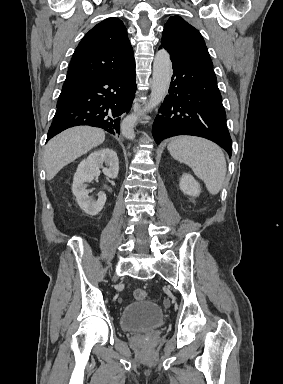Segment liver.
<instances>
[{
	"mask_svg": "<svg viewBox=\"0 0 283 384\" xmlns=\"http://www.w3.org/2000/svg\"><path fill=\"white\" fill-rule=\"evenodd\" d=\"M104 140L105 132L90 126L70 128L52 138L44 152L47 180H52L64 166L87 154L92 148H97L103 144Z\"/></svg>",
	"mask_w": 283,
	"mask_h": 384,
	"instance_id": "6515ba94",
	"label": "liver"
}]
</instances>
